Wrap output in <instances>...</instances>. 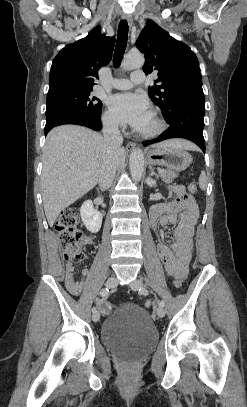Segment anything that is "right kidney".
I'll use <instances>...</instances> for the list:
<instances>
[{"label": "right kidney", "instance_id": "right-kidney-1", "mask_svg": "<svg viewBox=\"0 0 247 407\" xmlns=\"http://www.w3.org/2000/svg\"><path fill=\"white\" fill-rule=\"evenodd\" d=\"M80 215L86 228L91 233H97L102 224V214L93 207L91 200L85 201L80 208Z\"/></svg>", "mask_w": 247, "mask_h": 407}]
</instances>
